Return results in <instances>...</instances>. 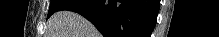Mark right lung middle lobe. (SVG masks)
<instances>
[{"instance_id":"right-lung-middle-lobe-1","label":"right lung middle lobe","mask_w":219,"mask_h":37,"mask_svg":"<svg viewBox=\"0 0 219 37\" xmlns=\"http://www.w3.org/2000/svg\"><path fill=\"white\" fill-rule=\"evenodd\" d=\"M66 0H51V5L49 7V11H48V17L51 16L53 13L59 11V9L61 8V6L63 4H65Z\"/></svg>"}]
</instances>
